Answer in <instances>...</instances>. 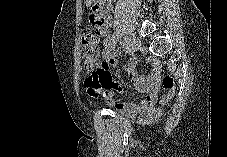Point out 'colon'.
<instances>
[{"label":"colon","mask_w":227,"mask_h":157,"mask_svg":"<svg viewBox=\"0 0 227 157\" xmlns=\"http://www.w3.org/2000/svg\"><path fill=\"white\" fill-rule=\"evenodd\" d=\"M94 11L97 12V9L94 8ZM98 43V37L89 29H84L82 31L81 52L84 70L87 74L86 83L88 84L96 83L102 77L98 57ZM163 85L167 90V94L161 98V103H165L173 95L175 90L174 79L169 75L165 76L163 79Z\"/></svg>","instance_id":"colon-1"}]
</instances>
